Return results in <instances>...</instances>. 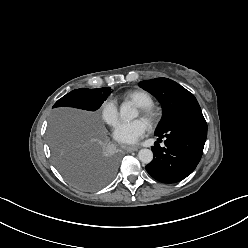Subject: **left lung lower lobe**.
Returning <instances> with one entry per match:
<instances>
[{"label": "left lung lower lobe", "mask_w": 248, "mask_h": 248, "mask_svg": "<svg viewBox=\"0 0 248 248\" xmlns=\"http://www.w3.org/2000/svg\"><path fill=\"white\" fill-rule=\"evenodd\" d=\"M165 147L155 143L151 147L154 158L146 166L147 172L163 183H176L190 175L198 165L207 137V123L200 106H195L171 123L161 133Z\"/></svg>", "instance_id": "left-lung-lower-lobe-1"}]
</instances>
